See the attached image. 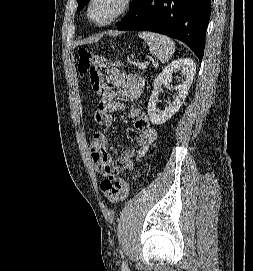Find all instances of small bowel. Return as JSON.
I'll list each match as a JSON object with an SVG mask.
<instances>
[{
  "label": "small bowel",
  "mask_w": 253,
  "mask_h": 271,
  "mask_svg": "<svg viewBox=\"0 0 253 271\" xmlns=\"http://www.w3.org/2000/svg\"><path fill=\"white\" fill-rule=\"evenodd\" d=\"M101 89L98 92L99 101L94 111V120L102 126L110 127L114 114L123 112L125 105L118 100H135L140 96L144 82L140 76L121 73L114 67L106 69L105 76L100 72ZM105 79L111 85L105 83ZM128 117L134 120L135 128L139 131L134 143L129 144L125 154L112 161L106 150L107 139L103 131H95L89 144V153L97 172L107 178H115L121 172L131 171L135 163L148 151L157 138V130L150 124L148 116L139 108H132Z\"/></svg>",
  "instance_id": "1"
}]
</instances>
